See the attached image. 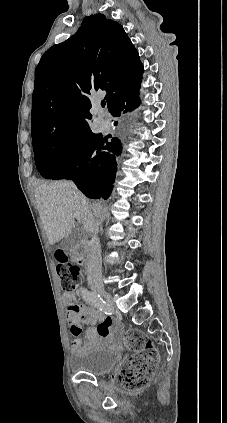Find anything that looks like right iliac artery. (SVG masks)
Listing matches in <instances>:
<instances>
[{
	"label": "right iliac artery",
	"mask_w": 227,
	"mask_h": 423,
	"mask_svg": "<svg viewBox=\"0 0 227 423\" xmlns=\"http://www.w3.org/2000/svg\"><path fill=\"white\" fill-rule=\"evenodd\" d=\"M83 297L88 304L100 309L101 311H104L105 314H108L109 305L106 304V302L100 297L98 293H96L95 291L92 292V291H89L88 289H84ZM109 313L111 314L112 312L110 311Z\"/></svg>",
	"instance_id": "obj_1"
}]
</instances>
